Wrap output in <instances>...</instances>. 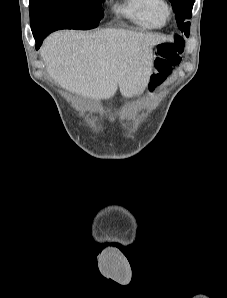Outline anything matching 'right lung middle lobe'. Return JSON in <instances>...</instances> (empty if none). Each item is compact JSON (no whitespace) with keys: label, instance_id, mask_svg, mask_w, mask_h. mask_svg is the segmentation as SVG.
Instances as JSON below:
<instances>
[{"label":"right lung middle lobe","instance_id":"1","mask_svg":"<svg viewBox=\"0 0 227 298\" xmlns=\"http://www.w3.org/2000/svg\"><path fill=\"white\" fill-rule=\"evenodd\" d=\"M104 0H30V24L34 34L59 29L87 30L102 19Z\"/></svg>","mask_w":227,"mask_h":298}]
</instances>
